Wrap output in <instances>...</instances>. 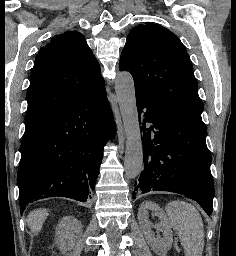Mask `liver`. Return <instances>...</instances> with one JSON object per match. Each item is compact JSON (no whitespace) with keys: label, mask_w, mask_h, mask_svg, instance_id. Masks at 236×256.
Masks as SVG:
<instances>
[{"label":"liver","mask_w":236,"mask_h":256,"mask_svg":"<svg viewBox=\"0 0 236 256\" xmlns=\"http://www.w3.org/2000/svg\"><path fill=\"white\" fill-rule=\"evenodd\" d=\"M49 216L48 210H45V208H39V210H33V212H30L27 216V224L29 228H31V232H34L35 236H37L38 232L42 230V226L47 218Z\"/></svg>","instance_id":"liver-1"}]
</instances>
